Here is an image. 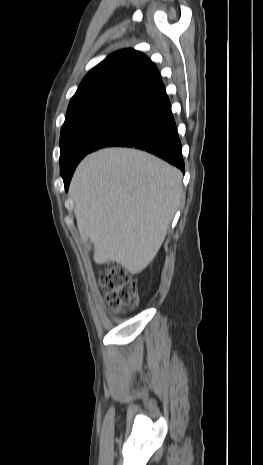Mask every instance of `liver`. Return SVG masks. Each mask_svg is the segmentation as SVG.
<instances>
[{
  "mask_svg": "<svg viewBox=\"0 0 263 465\" xmlns=\"http://www.w3.org/2000/svg\"><path fill=\"white\" fill-rule=\"evenodd\" d=\"M182 173L143 151L106 148L86 156L71 184L77 227L97 264L131 274L158 253L182 196Z\"/></svg>",
  "mask_w": 263,
  "mask_h": 465,
  "instance_id": "liver-1",
  "label": "liver"
}]
</instances>
